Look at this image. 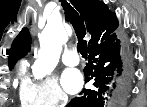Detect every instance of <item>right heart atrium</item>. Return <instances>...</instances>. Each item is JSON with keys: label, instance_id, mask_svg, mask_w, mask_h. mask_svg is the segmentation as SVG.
Listing matches in <instances>:
<instances>
[{"label": "right heart atrium", "instance_id": "1", "mask_svg": "<svg viewBox=\"0 0 147 107\" xmlns=\"http://www.w3.org/2000/svg\"><path fill=\"white\" fill-rule=\"evenodd\" d=\"M20 98L24 104L39 107L63 106L68 101L67 94L54 77L48 76L44 81L36 82L25 72L20 86Z\"/></svg>", "mask_w": 147, "mask_h": 107}]
</instances>
